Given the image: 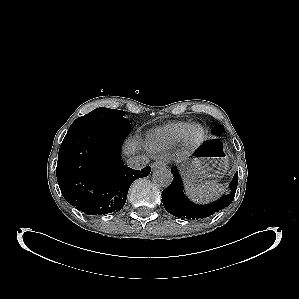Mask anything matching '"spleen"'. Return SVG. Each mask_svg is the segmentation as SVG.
<instances>
[{
	"mask_svg": "<svg viewBox=\"0 0 299 299\" xmlns=\"http://www.w3.org/2000/svg\"><path fill=\"white\" fill-rule=\"evenodd\" d=\"M187 195L194 202L207 203L217 198L224 191L222 184L216 180L206 181L199 185L189 184L186 187Z\"/></svg>",
	"mask_w": 299,
	"mask_h": 299,
	"instance_id": "1",
	"label": "spleen"
}]
</instances>
